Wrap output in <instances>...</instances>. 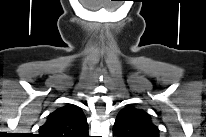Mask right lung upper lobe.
Returning <instances> with one entry per match:
<instances>
[{
	"label": "right lung upper lobe",
	"instance_id": "obj_1",
	"mask_svg": "<svg viewBox=\"0 0 206 137\" xmlns=\"http://www.w3.org/2000/svg\"><path fill=\"white\" fill-rule=\"evenodd\" d=\"M87 119L75 105H66L52 112L39 129L41 137H86Z\"/></svg>",
	"mask_w": 206,
	"mask_h": 137
}]
</instances>
